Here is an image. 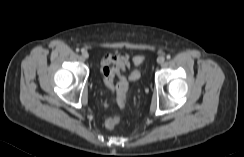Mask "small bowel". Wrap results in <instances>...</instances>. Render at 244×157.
Returning a JSON list of instances; mask_svg holds the SVG:
<instances>
[{"label": "small bowel", "instance_id": "obj_1", "mask_svg": "<svg viewBox=\"0 0 244 157\" xmlns=\"http://www.w3.org/2000/svg\"><path fill=\"white\" fill-rule=\"evenodd\" d=\"M131 63V57L129 54L122 52L118 54H108L101 62V71L107 65L116 64L122 71L129 69Z\"/></svg>", "mask_w": 244, "mask_h": 157}]
</instances>
